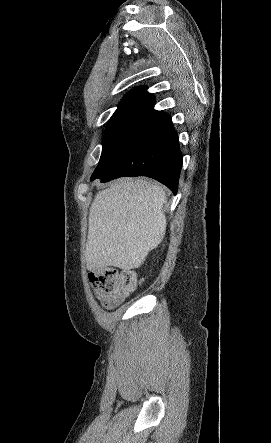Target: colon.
<instances>
[{
	"label": "colon",
	"mask_w": 271,
	"mask_h": 443,
	"mask_svg": "<svg viewBox=\"0 0 271 443\" xmlns=\"http://www.w3.org/2000/svg\"><path fill=\"white\" fill-rule=\"evenodd\" d=\"M92 287L106 295L124 299L134 291L136 280L132 270L106 268L89 274Z\"/></svg>",
	"instance_id": "colon-1"
}]
</instances>
